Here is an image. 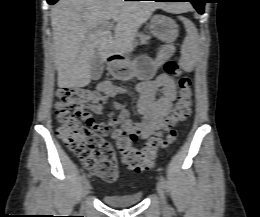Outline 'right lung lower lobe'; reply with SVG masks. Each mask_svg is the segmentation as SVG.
I'll return each instance as SVG.
<instances>
[{
  "instance_id": "obj_1",
  "label": "right lung lower lobe",
  "mask_w": 260,
  "mask_h": 217,
  "mask_svg": "<svg viewBox=\"0 0 260 217\" xmlns=\"http://www.w3.org/2000/svg\"><path fill=\"white\" fill-rule=\"evenodd\" d=\"M58 0H47L48 4L52 5L54 3H56ZM129 1V0H126Z\"/></svg>"
}]
</instances>
